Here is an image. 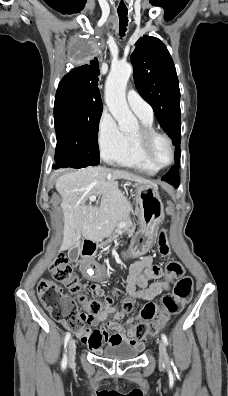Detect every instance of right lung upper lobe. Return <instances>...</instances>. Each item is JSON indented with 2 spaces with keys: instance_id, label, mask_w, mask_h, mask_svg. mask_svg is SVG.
Listing matches in <instances>:
<instances>
[{
  "instance_id": "obj_1",
  "label": "right lung upper lobe",
  "mask_w": 228,
  "mask_h": 396,
  "mask_svg": "<svg viewBox=\"0 0 228 396\" xmlns=\"http://www.w3.org/2000/svg\"><path fill=\"white\" fill-rule=\"evenodd\" d=\"M99 62L95 57L86 65L72 69L59 83L58 91L70 92L90 104H102L98 88Z\"/></svg>"
}]
</instances>
